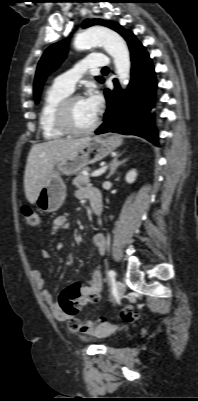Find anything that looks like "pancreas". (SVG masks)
<instances>
[{"instance_id":"obj_1","label":"pancreas","mask_w":198,"mask_h":401,"mask_svg":"<svg viewBox=\"0 0 198 401\" xmlns=\"http://www.w3.org/2000/svg\"><path fill=\"white\" fill-rule=\"evenodd\" d=\"M84 171H89V168L83 169L72 181V184L77 188H82L89 184V175H85Z\"/></svg>"}]
</instances>
